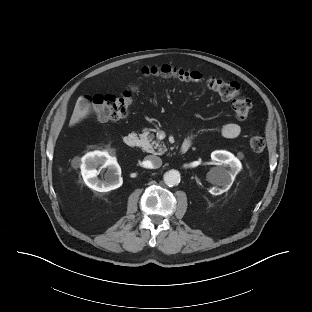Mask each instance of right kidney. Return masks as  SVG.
Segmentation results:
<instances>
[{"label":"right kidney","mask_w":312,"mask_h":312,"mask_svg":"<svg viewBox=\"0 0 312 312\" xmlns=\"http://www.w3.org/2000/svg\"><path fill=\"white\" fill-rule=\"evenodd\" d=\"M81 161V174L89 188L98 192H108L122 185L121 168L116 158L110 156L107 152L94 151L87 153L82 157ZM99 166L107 168L103 180L97 177L99 175L97 167Z\"/></svg>","instance_id":"ca27d5eb"}]
</instances>
